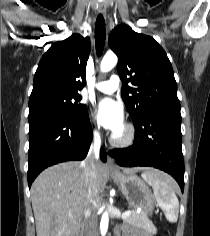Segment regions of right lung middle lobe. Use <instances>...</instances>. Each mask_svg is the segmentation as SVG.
Here are the masks:
<instances>
[{
	"label": "right lung middle lobe",
	"mask_w": 210,
	"mask_h": 236,
	"mask_svg": "<svg viewBox=\"0 0 210 236\" xmlns=\"http://www.w3.org/2000/svg\"><path fill=\"white\" fill-rule=\"evenodd\" d=\"M80 95L69 93H47L29 101V122L49 117L60 116L72 119L88 117L87 107L79 103Z\"/></svg>",
	"instance_id": "right-lung-middle-lobe-1"
}]
</instances>
